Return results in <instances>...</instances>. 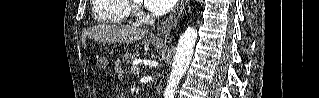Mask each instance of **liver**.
<instances>
[{
	"instance_id": "1",
	"label": "liver",
	"mask_w": 319,
	"mask_h": 98,
	"mask_svg": "<svg viewBox=\"0 0 319 98\" xmlns=\"http://www.w3.org/2000/svg\"><path fill=\"white\" fill-rule=\"evenodd\" d=\"M146 31L133 26L119 24H103L89 28L83 32L84 38L88 37L97 42L105 43H133L144 38Z\"/></svg>"
}]
</instances>
